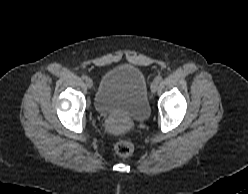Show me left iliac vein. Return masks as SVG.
<instances>
[{
    "instance_id": "obj_1",
    "label": "left iliac vein",
    "mask_w": 248,
    "mask_h": 194,
    "mask_svg": "<svg viewBox=\"0 0 248 194\" xmlns=\"http://www.w3.org/2000/svg\"><path fill=\"white\" fill-rule=\"evenodd\" d=\"M158 89H159L158 83L156 81L152 82V84H151V91L152 92H157Z\"/></svg>"
}]
</instances>
